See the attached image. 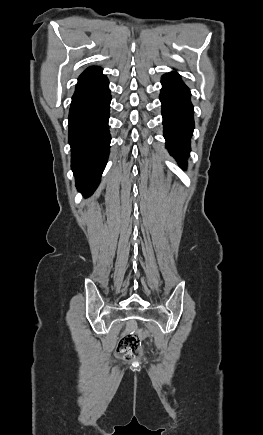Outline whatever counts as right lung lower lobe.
<instances>
[{
	"instance_id": "1",
	"label": "right lung lower lobe",
	"mask_w": 263,
	"mask_h": 435,
	"mask_svg": "<svg viewBox=\"0 0 263 435\" xmlns=\"http://www.w3.org/2000/svg\"><path fill=\"white\" fill-rule=\"evenodd\" d=\"M110 101L109 81L102 69L88 67L78 78L68 123L71 167L85 196L97 188L109 156Z\"/></svg>"
}]
</instances>
